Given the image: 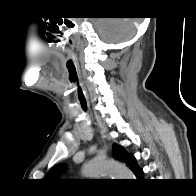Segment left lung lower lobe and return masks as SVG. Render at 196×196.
Segmentation results:
<instances>
[{
  "label": "left lung lower lobe",
  "instance_id": "left-lung-lower-lobe-1",
  "mask_svg": "<svg viewBox=\"0 0 196 196\" xmlns=\"http://www.w3.org/2000/svg\"><path fill=\"white\" fill-rule=\"evenodd\" d=\"M131 170L134 172V174L136 175L137 179H142V174H143V170L140 169L136 163H135V159L134 162L132 164Z\"/></svg>",
  "mask_w": 196,
  "mask_h": 196
}]
</instances>
